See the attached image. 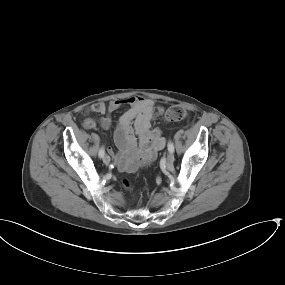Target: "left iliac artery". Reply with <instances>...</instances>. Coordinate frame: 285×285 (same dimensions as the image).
<instances>
[{
    "instance_id": "obj_1",
    "label": "left iliac artery",
    "mask_w": 285,
    "mask_h": 285,
    "mask_svg": "<svg viewBox=\"0 0 285 285\" xmlns=\"http://www.w3.org/2000/svg\"><path fill=\"white\" fill-rule=\"evenodd\" d=\"M167 147H168L169 152H174V146H173V143L171 141L168 142Z\"/></svg>"
}]
</instances>
